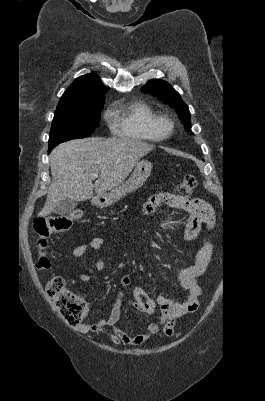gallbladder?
Here are the masks:
<instances>
[{
    "label": "gallbladder",
    "instance_id": "gallbladder-1",
    "mask_svg": "<svg viewBox=\"0 0 265 401\" xmlns=\"http://www.w3.org/2000/svg\"><path fill=\"white\" fill-rule=\"evenodd\" d=\"M75 207H77V201H72V198H65V201L58 203L53 213H56V215H68V213L74 211Z\"/></svg>",
    "mask_w": 265,
    "mask_h": 401
}]
</instances>
